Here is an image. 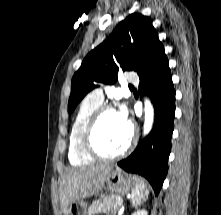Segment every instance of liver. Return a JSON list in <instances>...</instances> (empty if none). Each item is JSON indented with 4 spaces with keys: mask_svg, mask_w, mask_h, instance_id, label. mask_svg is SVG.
Here are the masks:
<instances>
[{
    "mask_svg": "<svg viewBox=\"0 0 221 215\" xmlns=\"http://www.w3.org/2000/svg\"><path fill=\"white\" fill-rule=\"evenodd\" d=\"M111 170L112 166L107 164L68 170L59 189L61 211L73 202L91 197L101 190Z\"/></svg>",
    "mask_w": 221,
    "mask_h": 215,
    "instance_id": "1",
    "label": "liver"
}]
</instances>
